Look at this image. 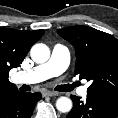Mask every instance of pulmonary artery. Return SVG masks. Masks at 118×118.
I'll return each mask as SVG.
<instances>
[{"instance_id":"obj_1","label":"pulmonary artery","mask_w":118,"mask_h":118,"mask_svg":"<svg viewBox=\"0 0 118 118\" xmlns=\"http://www.w3.org/2000/svg\"><path fill=\"white\" fill-rule=\"evenodd\" d=\"M69 63L70 53L68 48L62 44H56L52 48L51 56L48 61L27 71L14 74L12 81L15 84L39 83L62 74L68 68ZM77 93L81 97H85L87 95V87H80Z\"/></svg>"}]
</instances>
